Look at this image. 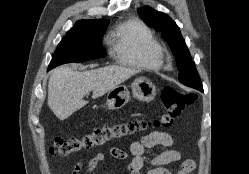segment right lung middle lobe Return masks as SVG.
Wrapping results in <instances>:
<instances>
[{"label":"right lung middle lobe","mask_w":249,"mask_h":174,"mask_svg":"<svg viewBox=\"0 0 249 174\" xmlns=\"http://www.w3.org/2000/svg\"><path fill=\"white\" fill-rule=\"evenodd\" d=\"M109 22L94 23L87 27L67 32L59 43L48 70L65 63H80L103 58L106 55L102 38Z\"/></svg>","instance_id":"obj_1"}]
</instances>
